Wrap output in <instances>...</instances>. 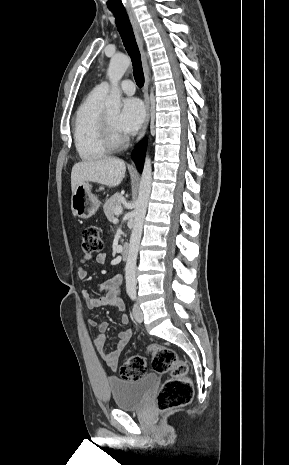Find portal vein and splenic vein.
Wrapping results in <instances>:
<instances>
[{"label":"portal vein and splenic vein","instance_id":"18ae733b","mask_svg":"<svg viewBox=\"0 0 289 465\" xmlns=\"http://www.w3.org/2000/svg\"><path fill=\"white\" fill-rule=\"evenodd\" d=\"M123 212V208L120 206L115 210V215H120Z\"/></svg>","mask_w":289,"mask_h":465}]
</instances>
